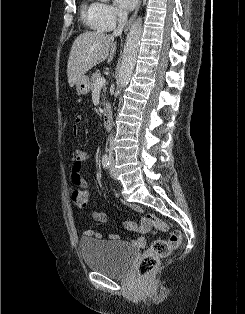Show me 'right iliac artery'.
I'll list each match as a JSON object with an SVG mask.
<instances>
[{
  "mask_svg": "<svg viewBox=\"0 0 245 314\" xmlns=\"http://www.w3.org/2000/svg\"><path fill=\"white\" fill-rule=\"evenodd\" d=\"M102 165H103V168H105V169H108V168H109L110 159H109V156H108V155H104V156L102 157Z\"/></svg>",
  "mask_w": 245,
  "mask_h": 314,
  "instance_id": "1",
  "label": "right iliac artery"
}]
</instances>
